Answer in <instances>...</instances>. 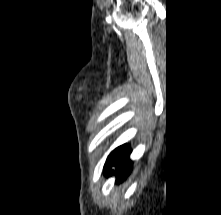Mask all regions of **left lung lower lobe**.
I'll return each mask as SVG.
<instances>
[{"label": "left lung lower lobe", "mask_w": 221, "mask_h": 215, "mask_svg": "<svg viewBox=\"0 0 221 215\" xmlns=\"http://www.w3.org/2000/svg\"><path fill=\"white\" fill-rule=\"evenodd\" d=\"M131 150L127 144L121 145L113 150L108 156L104 165L106 176L115 174L116 182H122L131 172L132 162L129 160ZM115 167V171L111 168Z\"/></svg>", "instance_id": "0a47b994"}]
</instances>
